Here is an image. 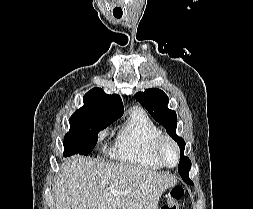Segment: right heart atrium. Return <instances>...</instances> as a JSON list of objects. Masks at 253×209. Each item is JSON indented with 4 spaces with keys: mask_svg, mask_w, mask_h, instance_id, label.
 Segmentation results:
<instances>
[{
    "mask_svg": "<svg viewBox=\"0 0 253 209\" xmlns=\"http://www.w3.org/2000/svg\"><path fill=\"white\" fill-rule=\"evenodd\" d=\"M105 136H106V132H105V131H102V132H100V134H99V139L102 140V139H104Z\"/></svg>",
    "mask_w": 253,
    "mask_h": 209,
    "instance_id": "obj_1",
    "label": "right heart atrium"
}]
</instances>
